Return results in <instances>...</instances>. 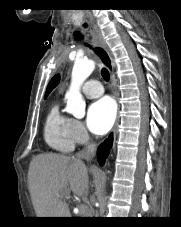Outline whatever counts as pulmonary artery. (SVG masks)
Wrapping results in <instances>:
<instances>
[{
    "instance_id": "e3ab8cb5",
    "label": "pulmonary artery",
    "mask_w": 181,
    "mask_h": 227,
    "mask_svg": "<svg viewBox=\"0 0 181 227\" xmlns=\"http://www.w3.org/2000/svg\"><path fill=\"white\" fill-rule=\"evenodd\" d=\"M82 91L88 98H97L104 92L102 84L97 80H88L82 86Z\"/></svg>"
}]
</instances>
